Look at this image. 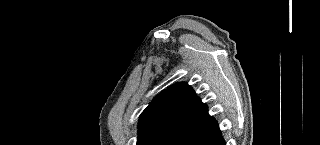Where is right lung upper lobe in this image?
Masks as SVG:
<instances>
[{
  "label": "right lung upper lobe",
  "mask_w": 320,
  "mask_h": 145,
  "mask_svg": "<svg viewBox=\"0 0 320 145\" xmlns=\"http://www.w3.org/2000/svg\"><path fill=\"white\" fill-rule=\"evenodd\" d=\"M213 117L186 83H177L157 95L139 119L137 145L161 134H178Z\"/></svg>",
  "instance_id": "obj_1"
}]
</instances>
